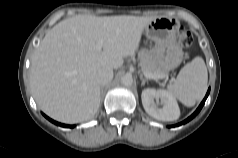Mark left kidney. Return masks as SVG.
Listing matches in <instances>:
<instances>
[{
  "label": "left kidney",
  "mask_w": 238,
  "mask_h": 158,
  "mask_svg": "<svg viewBox=\"0 0 238 158\" xmlns=\"http://www.w3.org/2000/svg\"><path fill=\"white\" fill-rule=\"evenodd\" d=\"M143 107L151 117L160 121H174L180 116V109L176 99L167 91L153 88H147L141 95ZM156 101H161L163 105L159 108Z\"/></svg>",
  "instance_id": "1"
}]
</instances>
